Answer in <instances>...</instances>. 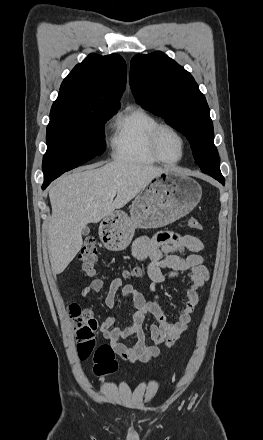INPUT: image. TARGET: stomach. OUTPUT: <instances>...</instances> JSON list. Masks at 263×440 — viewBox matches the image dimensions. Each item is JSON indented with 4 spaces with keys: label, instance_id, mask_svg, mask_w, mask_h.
I'll use <instances>...</instances> for the list:
<instances>
[{
    "label": "stomach",
    "instance_id": "0dacf381",
    "mask_svg": "<svg viewBox=\"0 0 263 440\" xmlns=\"http://www.w3.org/2000/svg\"><path fill=\"white\" fill-rule=\"evenodd\" d=\"M202 197L201 186L176 171H166L140 192L130 206V216L114 211L104 218L99 233L111 251L128 247L136 228H159L187 215Z\"/></svg>",
    "mask_w": 263,
    "mask_h": 440
}]
</instances>
